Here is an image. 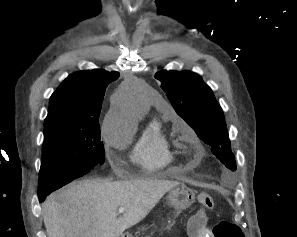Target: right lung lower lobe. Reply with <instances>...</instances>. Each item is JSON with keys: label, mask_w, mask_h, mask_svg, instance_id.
Masks as SVG:
<instances>
[{"label": "right lung lower lobe", "mask_w": 297, "mask_h": 237, "mask_svg": "<svg viewBox=\"0 0 297 237\" xmlns=\"http://www.w3.org/2000/svg\"><path fill=\"white\" fill-rule=\"evenodd\" d=\"M74 179H77V177H72V178L68 179L67 181H65V182L62 184V186H64V185L70 183V182L73 181ZM51 192H53V191H51V190H50V191H41V190H38L39 201H40V202L43 201V200L46 198V196H48Z\"/></svg>", "instance_id": "1"}]
</instances>
